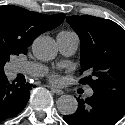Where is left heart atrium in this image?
I'll use <instances>...</instances> for the list:
<instances>
[{
    "mask_svg": "<svg viewBox=\"0 0 125 125\" xmlns=\"http://www.w3.org/2000/svg\"><path fill=\"white\" fill-rule=\"evenodd\" d=\"M49 77H50V80L52 81V82H58L59 81V75L56 73V72H52L50 75H49Z\"/></svg>",
    "mask_w": 125,
    "mask_h": 125,
    "instance_id": "left-heart-atrium-1",
    "label": "left heart atrium"
}]
</instances>
